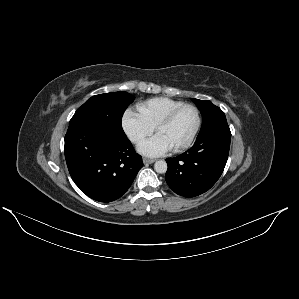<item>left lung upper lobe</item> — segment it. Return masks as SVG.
<instances>
[{"instance_id":"obj_1","label":"left lung upper lobe","mask_w":299,"mask_h":299,"mask_svg":"<svg viewBox=\"0 0 299 299\" xmlns=\"http://www.w3.org/2000/svg\"><path fill=\"white\" fill-rule=\"evenodd\" d=\"M202 114V127L199 135H202L215 127L228 126L224 112L209 100L192 99ZM198 135V136H199Z\"/></svg>"}]
</instances>
